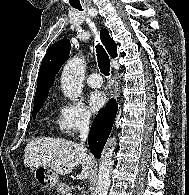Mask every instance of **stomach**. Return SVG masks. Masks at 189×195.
<instances>
[{"instance_id": "stomach-1", "label": "stomach", "mask_w": 189, "mask_h": 195, "mask_svg": "<svg viewBox=\"0 0 189 195\" xmlns=\"http://www.w3.org/2000/svg\"><path fill=\"white\" fill-rule=\"evenodd\" d=\"M35 180L45 189H53L59 184V175L48 166H38L33 169Z\"/></svg>"}]
</instances>
